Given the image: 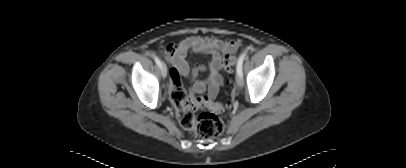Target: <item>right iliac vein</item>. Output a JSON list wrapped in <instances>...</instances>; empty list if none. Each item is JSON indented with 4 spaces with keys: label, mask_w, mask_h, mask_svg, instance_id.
<instances>
[{
    "label": "right iliac vein",
    "mask_w": 406,
    "mask_h": 168,
    "mask_svg": "<svg viewBox=\"0 0 406 168\" xmlns=\"http://www.w3.org/2000/svg\"><path fill=\"white\" fill-rule=\"evenodd\" d=\"M161 74H162L163 78H165L167 76V67L164 63H162Z\"/></svg>",
    "instance_id": "obj_1"
}]
</instances>
